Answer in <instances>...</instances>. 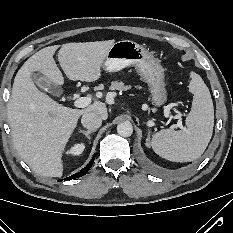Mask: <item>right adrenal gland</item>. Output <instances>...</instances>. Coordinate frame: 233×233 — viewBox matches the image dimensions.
I'll return each instance as SVG.
<instances>
[{"instance_id":"right-adrenal-gland-1","label":"right adrenal gland","mask_w":233,"mask_h":233,"mask_svg":"<svg viewBox=\"0 0 233 233\" xmlns=\"http://www.w3.org/2000/svg\"><path fill=\"white\" fill-rule=\"evenodd\" d=\"M80 133H82V134H84L89 140L91 139V137H90V134L91 133H94L95 132V130H81L80 129V131H79Z\"/></svg>"}]
</instances>
